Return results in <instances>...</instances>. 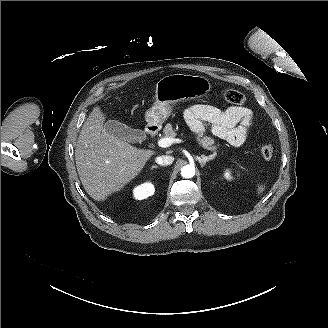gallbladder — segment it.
<instances>
[{"instance_id": "bac80fb5", "label": "gallbladder", "mask_w": 328, "mask_h": 328, "mask_svg": "<svg viewBox=\"0 0 328 328\" xmlns=\"http://www.w3.org/2000/svg\"><path fill=\"white\" fill-rule=\"evenodd\" d=\"M104 132L129 143H140L146 140L147 134L142 129H135L116 120H109L104 124Z\"/></svg>"}]
</instances>
